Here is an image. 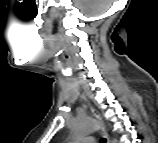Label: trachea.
I'll use <instances>...</instances> for the list:
<instances>
[{"mask_svg": "<svg viewBox=\"0 0 158 143\" xmlns=\"http://www.w3.org/2000/svg\"><path fill=\"white\" fill-rule=\"evenodd\" d=\"M101 143H104V139H101V141H100Z\"/></svg>", "mask_w": 158, "mask_h": 143, "instance_id": "3493384b", "label": "trachea"}]
</instances>
